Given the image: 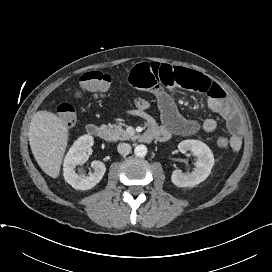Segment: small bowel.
<instances>
[{"mask_svg": "<svg viewBox=\"0 0 272 272\" xmlns=\"http://www.w3.org/2000/svg\"><path fill=\"white\" fill-rule=\"evenodd\" d=\"M131 84L140 90L152 93L160 111L161 124L146 110L135 108L132 114L148 124V131L158 141H167L175 136H190L199 132H213L218 126L214 118L195 121L180 114L171 96L178 89L200 92L208 97L211 111L219 114L226 122L230 133L229 146L238 151L242 146L239 118L234 105L225 91L214 81L199 72L157 62H142L129 74Z\"/></svg>", "mask_w": 272, "mask_h": 272, "instance_id": "small-bowel-1", "label": "small bowel"}]
</instances>
